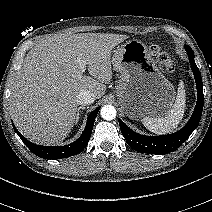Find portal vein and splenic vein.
Returning <instances> with one entry per match:
<instances>
[{
	"label": "portal vein and splenic vein",
	"instance_id": "portal-vein-and-splenic-vein-1",
	"mask_svg": "<svg viewBox=\"0 0 212 212\" xmlns=\"http://www.w3.org/2000/svg\"><path fill=\"white\" fill-rule=\"evenodd\" d=\"M80 62V68L82 72H85L86 70V62H84L83 60L79 59Z\"/></svg>",
	"mask_w": 212,
	"mask_h": 212
}]
</instances>
